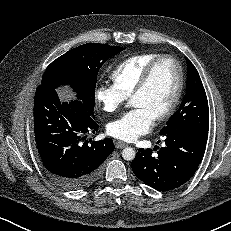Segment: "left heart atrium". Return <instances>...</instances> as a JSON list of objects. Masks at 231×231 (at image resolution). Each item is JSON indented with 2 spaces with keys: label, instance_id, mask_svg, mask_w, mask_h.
I'll return each instance as SVG.
<instances>
[{
  "label": "left heart atrium",
  "instance_id": "obj_1",
  "mask_svg": "<svg viewBox=\"0 0 231 231\" xmlns=\"http://www.w3.org/2000/svg\"><path fill=\"white\" fill-rule=\"evenodd\" d=\"M155 117L144 107H135L107 125V132L112 137L131 142L150 131Z\"/></svg>",
  "mask_w": 231,
  "mask_h": 231
}]
</instances>
